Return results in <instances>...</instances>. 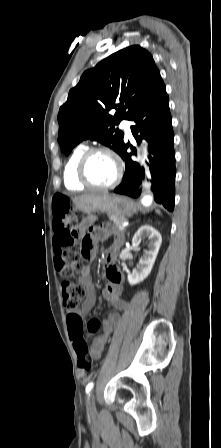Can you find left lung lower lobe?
<instances>
[{
    "label": "left lung lower lobe",
    "mask_w": 221,
    "mask_h": 448,
    "mask_svg": "<svg viewBox=\"0 0 221 448\" xmlns=\"http://www.w3.org/2000/svg\"><path fill=\"white\" fill-rule=\"evenodd\" d=\"M132 121L136 123V126L131 127V131L137 143L139 144L142 139H146L149 143L148 158L154 199L169 211H173L176 169L174 134L166 88L153 94ZM128 147L129 144H125L119 153L125 160V173L122 183L114 192L136 198L141 194L138 187L144 174L143 169L132 161L131 154L126 152Z\"/></svg>",
    "instance_id": "0a47b994"
}]
</instances>
